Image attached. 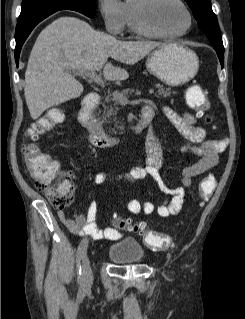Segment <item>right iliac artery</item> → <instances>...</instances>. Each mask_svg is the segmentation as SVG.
I'll list each match as a JSON object with an SVG mask.
<instances>
[{
	"label": "right iliac artery",
	"instance_id": "82829eb1",
	"mask_svg": "<svg viewBox=\"0 0 245 319\" xmlns=\"http://www.w3.org/2000/svg\"><path fill=\"white\" fill-rule=\"evenodd\" d=\"M87 246H85L84 244L80 243L79 247H78V250H77V280L78 282L80 283V285H83V275H82V272H81V265H80V261L83 257V254L86 250Z\"/></svg>",
	"mask_w": 245,
	"mask_h": 319
}]
</instances>
